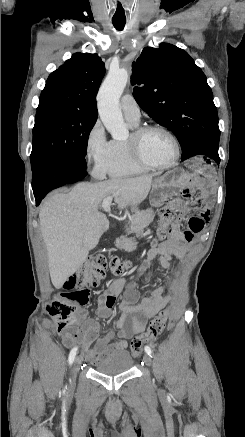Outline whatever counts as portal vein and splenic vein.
Wrapping results in <instances>:
<instances>
[{"mask_svg": "<svg viewBox=\"0 0 245 437\" xmlns=\"http://www.w3.org/2000/svg\"><path fill=\"white\" fill-rule=\"evenodd\" d=\"M112 199H113V197L109 196L103 200L102 208L105 212H110V205H111Z\"/></svg>", "mask_w": 245, "mask_h": 437, "instance_id": "1", "label": "portal vein and splenic vein"}]
</instances>
